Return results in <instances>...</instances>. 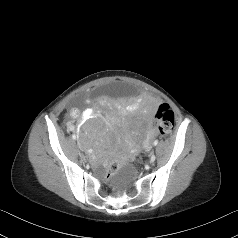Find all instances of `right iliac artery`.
Here are the masks:
<instances>
[{
    "mask_svg": "<svg viewBox=\"0 0 238 238\" xmlns=\"http://www.w3.org/2000/svg\"><path fill=\"white\" fill-rule=\"evenodd\" d=\"M72 138H73V139H76V135H75V134H73V135H72Z\"/></svg>",
    "mask_w": 238,
    "mask_h": 238,
    "instance_id": "82829eb1",
    "label": "right iliac artery"
}]
</instances>
